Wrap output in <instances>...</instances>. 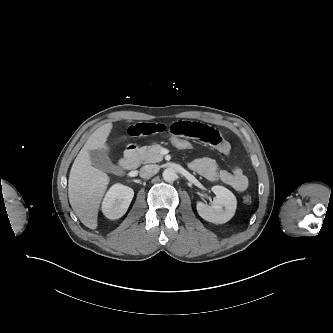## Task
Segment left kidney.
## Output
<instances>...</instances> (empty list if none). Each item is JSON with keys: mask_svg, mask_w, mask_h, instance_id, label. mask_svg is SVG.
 <instances>
[{"mask_svg": "<svg viewBox=\"0 0 333 333\" xmlns=\"http://www.w3.org/2000/svg\"><path fill=\"white\" fill-rule=\"evenodd\" d=\"M212 191L216 195L212 206L198 201L196 205L197 212L200 217L208 222L215 224L226 223L234 216L236 211V197L230 190L220 185L213 186Z\"/></svg>", "mask_w": 333, "mask_h": 333, "instance_id": "left-kidney-1", "label": "left kidney"}]
</instances>
